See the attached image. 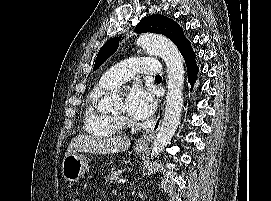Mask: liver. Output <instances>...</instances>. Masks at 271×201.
<instances>
[{"label": "liver", "instance_id": "1", "mask_svg": "<svg viewBox=\"0 0 271 201\" xmlns=\"http://www.w3.org/2000/svg\"><path fill=\"white\" fill-rule=\"evenodd\" d=\"M130 144L131 141L127 137L98 138L79 134L71 140L65 152V157L80 152L95 154L120 153L127 150Z\"/></svg>", "mask_w": 271, "mask_h": 201}]
</instances>
